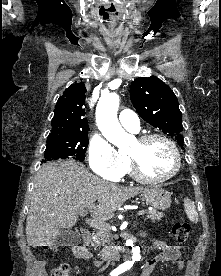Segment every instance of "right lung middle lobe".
<instances>
[{
    "label": "right lung middle lobe",
    "instance_id": "obj_1",
    "mask_svg": "<svg viewBox=\"0 0 221 276\" xmlns=\"http://www.w3.org/2000/svg\"><path fill=\"white\" fill-rule=\"evenodd\" d=\"M88 143V134L48 137L42 163L59 159H75L81 162L85 158Z\"/></svg>",
    "mask_w": 221,
    "mask_h": 276
}]
</instances>
